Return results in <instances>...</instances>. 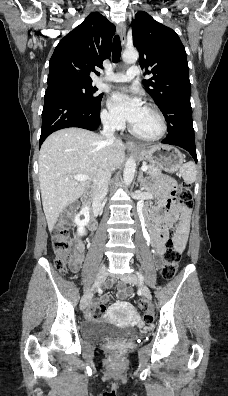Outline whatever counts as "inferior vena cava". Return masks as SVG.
Returning <instances> with one entry per match:
<instances>
[{
  "instance_id": "obj_1",
  "label": "inferior vena cava",
  "mask_w": 228,
  "mask_h": 396,
  "mask_svg": "<svg viewBox=\"0 0 228 396\" xmlns=\"http://www.w3.org/2000/svg\"><path fill=\"white\" fill-rule=\"evenodd\" d=\"M114 133L115 125L111 121L105 120L103 122V130L101 131V135L105 138L107 142L112 143L116 140ZM111 171V168L107 167L94 179L92 188L94 200L101 201L107 195Z\"/></svg>"
}]
</instances>
